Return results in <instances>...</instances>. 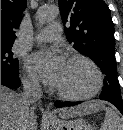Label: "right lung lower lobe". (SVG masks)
<instances>
[{"label":"right lung lower lobe","instance_id":"98d812e1","mask_svg":"<svg viewBox=\"0 0 123 130\" xmlns=\"http://www.w3.org/2000/svg\"><path fill=\"white\" fill-rule=\"evenodd\" d=\"M20 83L19 75L1 70V85L7 86L11 89H16L20 86Z\"/></svg>","mask_w":123,"mask_h":130}]
</instances>
